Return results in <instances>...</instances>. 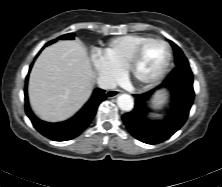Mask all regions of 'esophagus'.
I'll return each instance as SVG.
<instances>
[{
	"mask_svg": "<svg viewBox=\"0 0 222 187\" xmlns=\"http://www.w3.org/2000/svg\"><path fill=\"white\" fill-rule=\"evenodd\" d=\"M119 94H120V91H119V90H108V91L106 92V96H107L108 98L117 97Z\"/></svg>",
	"mask_w": 222,
	"mask_h": 187,
	"instance_id": "34e87169",
	"label": "esophagus"
}]
</instances>
